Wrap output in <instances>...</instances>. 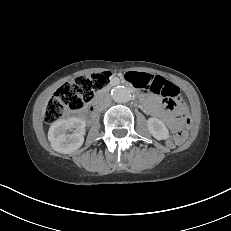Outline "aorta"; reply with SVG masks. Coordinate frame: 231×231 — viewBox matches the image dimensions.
Listing matches in <instances>:
<instances>
[{"label": "aorta", "mask_w": 231, "mask_h": 231, "mask_svg": "<svg viewBox=\"0 0 231 231\" xmlns=\"http://www.w3.org/2000/svg\"><path fill=\"white\" fill-rule=\"evenodd\" d=\"M112 98L115 102L126 103L131 98L130 91L124 86H117L111 91Z\"/></svg>", "instance_id": "762f6f07"}]
</instances>
